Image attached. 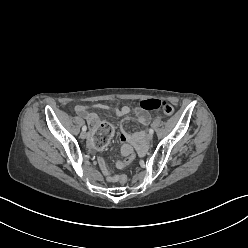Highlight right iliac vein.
<instances>
[{
	"label": "right iliac vein",
	"instance_id": "right-iliac-vein-1",
	"mask_svg": "<svg viewBox=\"0 0 248 248\" xmlns=\"http://www.w3.org/2000/svg\"><path fill=\"white\" fill-rule=\"evenodd\" d=\"M80 137L82 139H85L87 137V133L85 131H83L81 134H80Z\"/></svg>",
	"mask_w": 248,
	"mask_h": 248
}]
</instances>
